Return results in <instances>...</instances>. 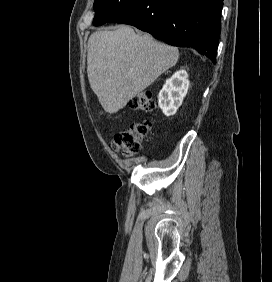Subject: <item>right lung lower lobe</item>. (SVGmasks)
Listing matches in <instances>:
<instances>
[{"mask_svg":"<svg viewBox=\"0 0 272 282\" xmlns=\"http://www.w3.org/2000/svg\"><path fill=\"white\" fill-rule=\"evenodd\" d=\"M223 0H136L108 22L124 23L215 62Z\"/></svg>","mask_w":272,"mask_h":282,"instance_id":"right-lung-lower-lobe-1","label":"right lung lower lobe"}]
</instances>
